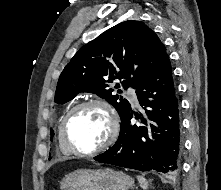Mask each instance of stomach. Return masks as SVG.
<instances>
[{"label":"stomach","mask_w":221,"mask_h":190,"mask_svg":"<svg viewBox=\"0 0 221 190\" xmlns=\"http://www.w3.org/2000/svg\"><path fill=\"white\" fill-rule=\"evenodd\" d=\"M133 185L130 176L112 169H78L60 182L61 190H128Z\"/></svg>","instance_id":"1"}]
</instances>
